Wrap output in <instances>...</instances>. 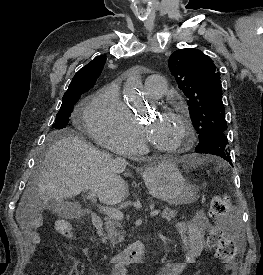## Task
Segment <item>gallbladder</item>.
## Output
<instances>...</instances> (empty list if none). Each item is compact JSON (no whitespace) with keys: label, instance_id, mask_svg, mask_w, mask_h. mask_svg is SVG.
Returning a JSON list of instances; mask_svg holds the SVG:
<instances>
[{"label":"gallbladder","instance_id":"obj_1","mask_svg":"<svg viewBox=\"0 0 263 275\" xmlns=\"http://www.w3.org/2000/svg\"><path fill=\"white\" fill-rule=\"evenodd\" d=\"M46 208L51 213L65 219H71L78 215V210L74 204L61 199H50Z\"/></svg>","mask_w":263,"mask_h":275}]
</instances>
